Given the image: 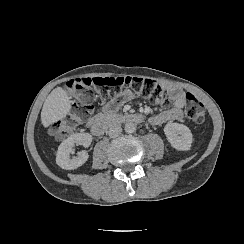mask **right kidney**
<instances>
[{
	"label": "right kidney",
	"instance_id": "right-kidney-1",
	"mask_svg": "<svg viewBox=\"0 0 244 244\" xmlns=\"http://www.w3.org/2000/svg\"><path fill=\"white\" fill-rule=\"evenodd\" d=\"M91 142L92 136L88 133L71 135L60 144L56 155V164L63 170H75L81 167L88 160V153L82 151L78 158L71 159V148L75 144L89 146Z\"/></svg>",
	"mask_w": 244,
	"mask_h": 244
}]
</instances>
